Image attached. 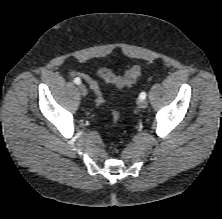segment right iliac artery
I'll use <instances>...</instances> for the list:
<instances>
[{
  "mask_svg": "<svg viewBox=\"0 0 222 219\" xmlns=\"http://www.w3.org/2000/svg\"><path fill=\"white\" fill-rule=\"evenodd\" d=\"M74 83L75 84H80L81 83V80H80V78L79 77H76L75 79H74Z\"/></svg>",
  "mask_w": 222,
  "mask_h": 219,
  "instance_id": "right-iliac-artery-1",
  "label": "right iliac artery"
}]
</instances>
